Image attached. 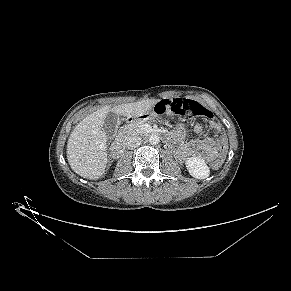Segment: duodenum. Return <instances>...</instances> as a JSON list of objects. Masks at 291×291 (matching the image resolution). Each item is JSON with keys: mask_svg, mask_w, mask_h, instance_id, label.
I'll return each instance as SVG.
<instances>
[{"mask_svg": "<svg viewBox=\"0 0 291 291\" xmlns=\"http://www.w3.org/2000/svg\"><path fill=\"white\" fill-rule=\"evenodd\" d=\"M152 135H161V133L159 131H152L151 132ZM124 148H125V141L123 138H117L113 144H112V147H111V151H112V155L114 157H119L123 151H124Z\"/></svg>", "mask_w": 291, "mask_h": 291, "instance_id": "duodenum-1", "label": "duodenum"}]
</instances>
